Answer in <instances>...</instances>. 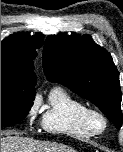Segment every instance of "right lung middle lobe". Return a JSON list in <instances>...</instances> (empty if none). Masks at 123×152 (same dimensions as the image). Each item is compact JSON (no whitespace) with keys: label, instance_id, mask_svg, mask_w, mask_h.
<instances>
[{"label":"right lung middle lobe","instance_id":"right-lung-middle-lobe-1","mask_svg":"<svg viewBox=\"0 0 123 152\" xmlns=\"http://www.w3.org/2000/svg\"><path fill=\"white\" fill-rule=\"evenodd\" d=\"M34 97V87L1 76V127L21 122L31 109Z\"/></svg>","mask_w":123,"mask_h":152}]
</instances>
